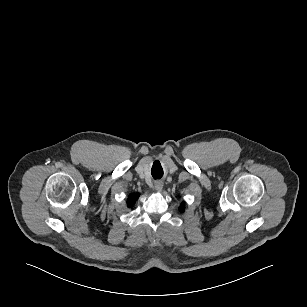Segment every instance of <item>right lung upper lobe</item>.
I'll use <instances>...</instances> for the list:
<instances>
[{
	"mask_svg": "<svg viewBox=\"0 0 307 307\" xmlns=\"http://www.w3.org/2000/svg\"><path fill=\"white\" fill-rule=\"evenodd\" d=\"M139 198V194L135 193V194H131L129 197H128V200H127V205L128 207H132L133 204L135 203V201Z\"/></svg>",
	"mask_w": 307,
	"mask_h": 307,
	"instance_id": "1",
	"label": "right lung upper lobe"
}]
</instances>
